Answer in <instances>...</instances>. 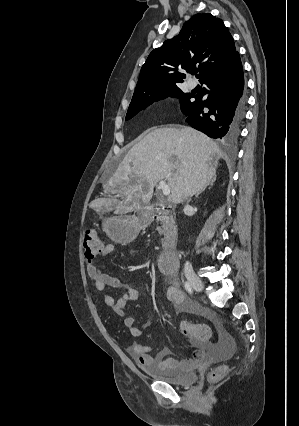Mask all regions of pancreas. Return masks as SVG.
<instances>
[{
	"mask_svg": "<svg viewBox=\"0 0 299 426\" xmlns=\"http://www.w3.org/2000/svg\"><path fill=\"white\" fill-rule=\"evenodd\" d=\"M157 223H160L161 226L157 227L159 234L164 235L170 230L175 228V220L173 215H161L157 218Z\"/></svg>",
	"mask_w": 299,
	"mask_h": 426,
	"instance_id": "cf45deb5",
	"label": "pancreas"
}]
</instances>
